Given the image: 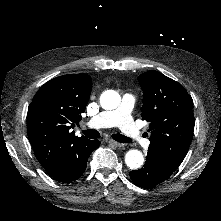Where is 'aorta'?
<instances>
[{"label": "aorta", "mask_w": 221, "mask_h": 221, "mask_svg": "<svg viewBox=\"0 0 221 221\" xmlns=\"http://www.w3.org/2000/svg\"><path fill=\"white\" fill-rule=\"evenodd\" d=\"M120 100L117 92L108 91L101 95L100 104L102 108L112 110L118 107ZM125 163L132 170L139 169L144 163L143 154L139 150L131 149L125 155Z\"/></svg>", "instance_id": "obj_1"}]
</instances>
